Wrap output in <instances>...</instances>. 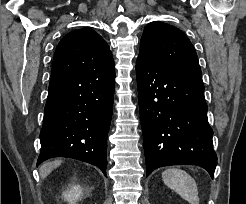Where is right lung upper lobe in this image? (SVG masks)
<instances>
[{
  "mask_svg": "<svg viewBox=\"0 0 246 204\" xmlns=\"http://www.w3.org/2000/svg\"><path fill=\"white\" fill-rule=\"evenodd\" d=\"M114 68L112 53L94 30L84 28L66 34L55 51L51 76Z\"/></svg>",
  "mask_w": 246,
  "mask_h": 204,
  "instance_id": "right-lung-upper-lobe-1",
  "label": "right lung upper lobe"
}]
</instances>
